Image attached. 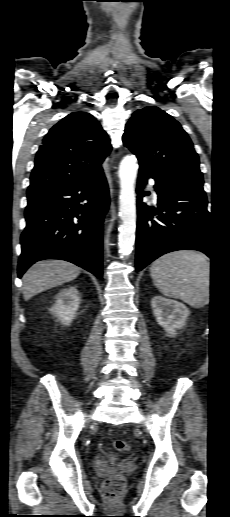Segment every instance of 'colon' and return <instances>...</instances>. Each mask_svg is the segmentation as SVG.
I'll list each match as a JSON object with an SVG mask.
<instances>
[{
    "instance_id": "colon-1",
    "label": "colon",
    "mask_w": 230,
    "mask_h": 517,
    "mask_svg": "<svg viewBox=\"0 0 230 517\" xmlns=\"http://www.w3.org/2000/svg\"><path fill=\"white\" fill-rule=\"evenodd\" d=\"M114 447L119 451H128L129 444L121 439H116L113 442ZM124 486V478L121 476L108 479L103 486L104 496L109 500H117L122 492Z\"/></svg>"
}]
</instances>
